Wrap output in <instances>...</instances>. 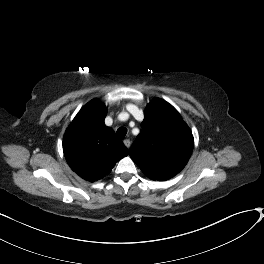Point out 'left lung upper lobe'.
Here are the masks:
<instances>
[{
  "mask_svg": "<svg viewBox=\"0 0 264 264\" xmlns=\"http://www.w3.org/2000/svg\"><path fill=\"white\" fill-rule=\"evenodd\" d=\"M141 126L130 157L152 180L174 177L192 154L194 139L190 128L172 105L159 98L146 107Z\"/></svg>",
  "mask_w": 264,
  "mask_h": 264,
  "instance_id": "1",
  "label": "left lung upper lobe"
}]
</instances>
